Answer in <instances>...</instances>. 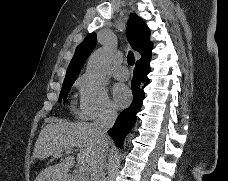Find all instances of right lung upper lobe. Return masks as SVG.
I'll list each match as a JSON object with an SVG mask.
<instances>
[{"mask_svg": "<svg viewBox=\"0 0 228 181\" xmlns=\"http://www.w3.org/2000/svg\"><path fill=\"white\" fill-rule=\"evenodd\" d=\"M126 34L132 48L140 53V59H144L151 55L153 45L149 40V28L135 13L130 16ZM95 45L96 34L91 33L77 46L75 54L67 69L64 82L76 80L82 66L84 65L90 53L93 51Z\"/></svg>", "mask_w": 228, "mask_h": 181, "instance_id": "1", "label": "right lung upper lobe"}]
</instances>
